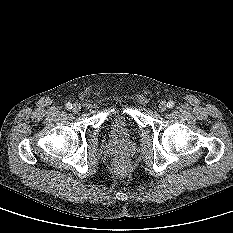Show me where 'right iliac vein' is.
I'll return each mask as SVG.
<instances>
[{
	"label": "right iliac vein",
	"mask_w": 233,
	"mask_h": 233,
	"mask_svg": "<svg viewBox=\"0 0 233 233\" xmlns=\"http://www.w3.org/2000/svg\"><path fill=\"white\" fill-rule=\"evenodd\" d=\"M72 110L74 113H79L81 111V106L80 104H74L73 107H72Z\"/></svg>",
	"instance_id": "63e3f726"
}]
</instances>
